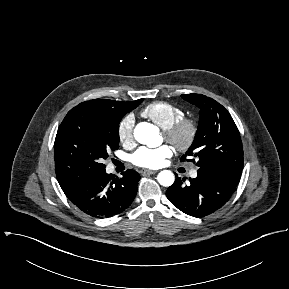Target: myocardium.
<instances>
[{
	"label": "myocardium",
	"instance_id": "f54148a6",
	"mask_svg": "<svg viewBox=\"0 0 289 289\" xmlns=\"http://www.w3.org/2000/svg\"><path fill=\"white\" fill-rule=\"evenodd\" d=\"M198 126L194 119L183 117L164 130L165 139L178 151H187L194 143Z\"/></svg>",
	"mask_w": 289,
	"mask_h": 289
}]
</instances>
